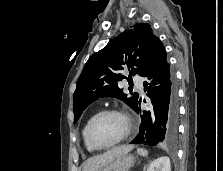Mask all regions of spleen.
Here are the masks:
<instances>
[{
    "instance_id": "3e777b00",
    "label": "spleen",
    "mask_w": 223,
    "mask_h": 171,
    "mask_svg": "<svg viewBox=\"0 0 223 171\" xmlns=\"http://www.w3.org/2000/svg\"><path fill=\"white\" fill-rule=\"evenodd\" d=\"M137 152L139 155L143 156V157H146L148 156V151L146 149H143V148H138L137 149Z\"/></svg>"
}]
</instances>
